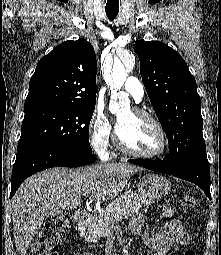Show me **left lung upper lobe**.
Here are the masks:
<instances>
[{"instance_id": "obj_1", "label": "left lung upper lobe", "mask_w": 221, "mask_h": 255, "mask_svg": "<svg viewBox=\"0 0 221 255\" xmlns=\"http://www.w3.org/2000/svg\"><path fill=\"white\" fill-rule=\"evenodd\" d=\"M134 51L145 89L168 138L169 154L164 160L177 164L206 155L201 100L184 59L158 41L139 40Z\"/></svg>"}]
</instances>
